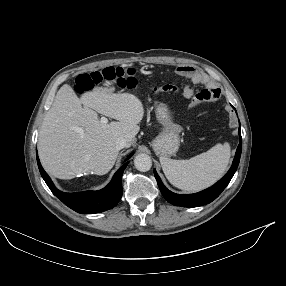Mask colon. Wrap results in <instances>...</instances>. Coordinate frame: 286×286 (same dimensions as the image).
<instances>
[{
    "label": "colon",
    "instance_id": "colon-1",
    "mask_svg": "<svg viewBox=\"0 0 286 286\" xmlns=\"http://www.w3.org/2000/svg\"><path fill=\"white\" fill-rule=\"evenodd\" d=\"M116 81L122 88H132L136 84L133 69L124 70L119 67H106L100 71L90 73H82L76 79V87L79 93H84L92 90L94 87L102 84L103 82ZM162 90H173L172 86H165ZM196 102H202L203 96L197 94L194 98ZM150 101L153 106L154 116L157 118L160 126L168 133L175 135L179 139H185L189 135V130L174 121L166 111L165 101L159 92H154L150 96Z\"/></svg>",
    "mask_w": 286,
    "mask_h": 286
}]
</instances>
